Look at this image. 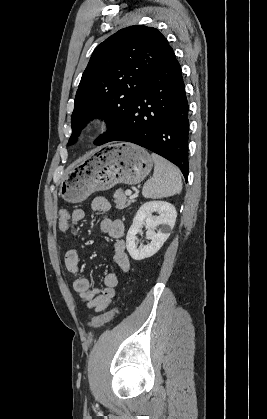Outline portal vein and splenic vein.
<instances>
[{
  "label": "portal vein and splenic vein",
  "instance_id": "portal-vein-and-splenic-vein-1",
  "mask_svg": "<svg viewBox=\"0 0 267 419\" xmlns=\"http://www.w3.org/2000/svg\"><path fill=\"white\" fill-rule=\"evenodd\" d=\"M125 194L128 195V196H131L132 195V191L131 190H126Z\"/></svg>",
  "mask_w": 267,
  "mask_h": 419
}]
</instances>
